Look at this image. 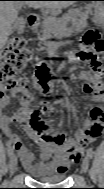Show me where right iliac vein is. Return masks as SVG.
I'll list each match as a JSON object with an SVG mask.
<instances>
[{
	"label": "right iliac vein",
	"mask_w": 104,
	"mask_h": 189,
	"mask_svg": "<svg viewBox=\"0 0 104 189\" xmlns=\"http://www.w3.org/2000/svg\"><path fill=\"white\" fill-rule=\"evenodd\" d=\"M18 161H17V156L15 154H12L10 156L9 160V168H10V173L14 174L16 169H17Z\"/></svg>",
	"instance_id": "1"
}]
</instances>
